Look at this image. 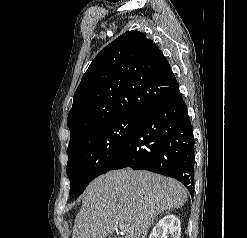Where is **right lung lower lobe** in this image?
Returning a JSON list of instances; mask_svg holds the SVG:
<instances>
[{
  "instance_id": "98d812e1",
  "label": "right lung lower lobe",
  "mask_w": 247,
  "mask_h": 238,
  "mask_svg": "<svg viewBox=\"0 0 247 238\" xmlns=\"http://www.w3.org/2000/svg\"><path fill=\"white\" fill-rule=\"evenodd\" d=\"M128 167L175 178L193 193L194 139L178 89L141 114L110 170Z\"/></svg>"
}]
</instances>
